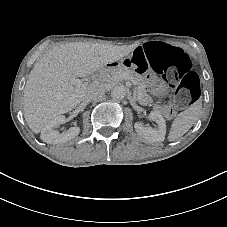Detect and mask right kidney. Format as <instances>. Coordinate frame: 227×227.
Here are the masks:
<instances>
[{"label":"right kidney","mask_w":227,"mask_h":227,"mask_svg":"<svg viewBox=\"0 0 227 227\" xmlns=\"http://www.w3.org/2000/svg\"><path fill=\"white\" fill-rule=\"evenodd\" d=\"M67 122V119L65 116L60 115L52 120H50L41 130L40 138L43 142L48 144H59V143H66L67 141H70L74 139L76 136L80 133V128L77 126L69 128L65 133H59L56 128L59 127V125L64 124Z\"/></svg>","instance_id":"obj_1"}]
</instances>
